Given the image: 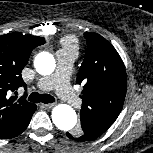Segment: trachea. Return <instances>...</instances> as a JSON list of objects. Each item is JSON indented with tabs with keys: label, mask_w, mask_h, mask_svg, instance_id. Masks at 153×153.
I'll use <instances>...</instances> for the list:
<instances>
[{
	"label": "trachea",
	"mask_w": 153,
	"mask_h": 153,
	"mask_svg": "<svg viewBox=\"0 0 153 153\" xmlns=\"http://www.w3.org/2000/svg\"><path fill=\"white\" fill-rule=\"evenodd\" d=\"M29 101L34 103H53L55 102V98L50 94H39L38 92H33L28 97Z\"/></svg>",
	"instance_id": "trachea-1"
}]
</instances>
